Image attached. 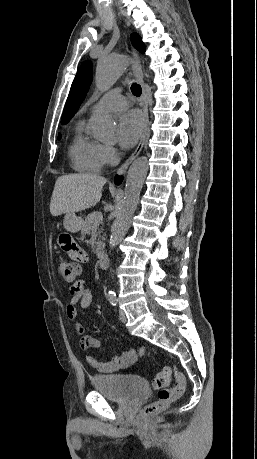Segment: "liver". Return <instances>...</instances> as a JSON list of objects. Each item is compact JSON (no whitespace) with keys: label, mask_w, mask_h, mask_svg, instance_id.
I'll return each instance as SVG.
<instances>
[{"label":"liver","mask_w":257,"mask_h":459,"mask_svg":"<svg viewBox=\"0 0 257 459\" xmlns=\"http://www.w3.org/2000/svg\"><path fill=\"white\" fill-rule=\"evenodd\" d=\"M106 178L91 173L60 176L50 201V213L59 216L78 212L96 205L102 196Z\"/></svg>","instance_id":"6515ba94"}]
</instances>
